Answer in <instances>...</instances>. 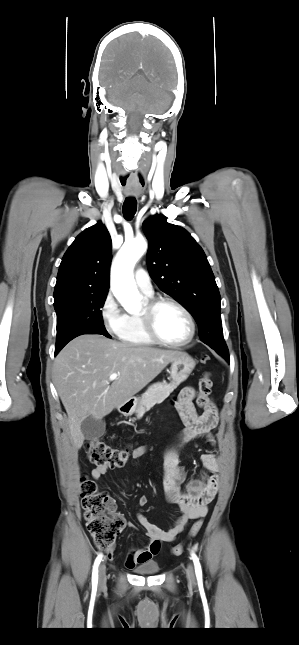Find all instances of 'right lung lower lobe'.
<instances>
[{"mask_svg": "<svg viewBox=\"0 0 299 645\" xmlns=\"http://www.w3.org/2000/svg\"><path fill=\"white\" fill-rule=\"evenodd\" d=\"M58 351H59V350H55V354H57V353H58Z\"/></svg>", "mask_w": 299, "mask_h": 645, "instance_id": "obj_1", "label": "right lung lower lobe"}]
</instances>
